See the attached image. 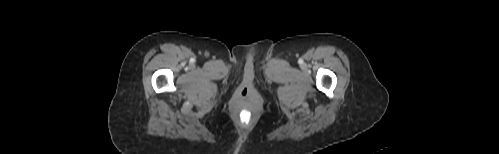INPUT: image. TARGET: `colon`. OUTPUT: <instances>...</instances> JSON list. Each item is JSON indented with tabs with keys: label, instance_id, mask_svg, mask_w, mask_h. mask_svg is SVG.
Here are the masks:
<instances>
[{
	"label": "colon",
	"instance_id": "colon-1",
	"mask_svg": "<svg viewBox=\"0 0 499 154\" xmlns=\"http://www.w3.org/2000/svg\"><path fill=\"white\" fill-rule=\"evenodd\" d=\"M238 115H239V119L242 122L248 123L251 119L250 107L247 104H242L238 108Z\"/></svg>",
	"mask_w": 499,
	"mask_h": 154
}]
</instances>
